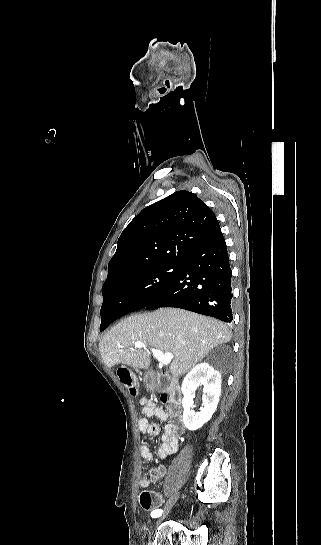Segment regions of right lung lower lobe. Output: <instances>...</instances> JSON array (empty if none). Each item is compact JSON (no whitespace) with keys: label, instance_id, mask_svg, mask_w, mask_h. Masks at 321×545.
<instances>
[{"label":"right lung lower lobe","instance_id":"1","mask_svg":"<svg viewBox=\"0 0 321 545\" xmlns=\"http://www.w3.org/2000/svg\"><path fill=\"white\" fill-rule=\"evenodd\" d=\"M231 275L225 239L219 229L185 260L175 278L147 305L124 298H112L102 305V330L130 312L160 307H178L229 323L233 319Z\"/></svg>","mask_w":321,"mask_h":545}]
</instances>
